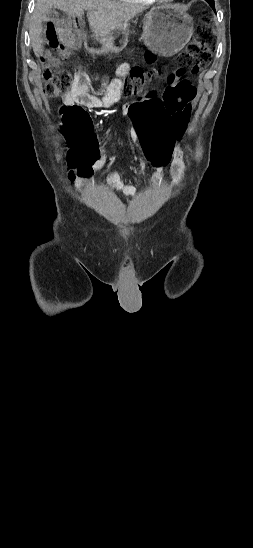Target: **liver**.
Listing matches in <instances>:
<instances>
[{"mask_svg":"<svg viewBox=\"0 0 253 548\" xmlns=\"http://www.w3.org/2000/svg\"><path fill=\"white\" fill-rule=\"evenodd\" d=\"M52 8L78 18L87 11L90 29L100 37L111 36L125 29L127 22L142 12L139 6L112 0H37L29 29L31 46L36 56L41 53L44 43L42 21Z\"/></svg>","mask_w":253,"mask_h":548,"instance_id":"obj_1","label":"liver"}]
</instances>
